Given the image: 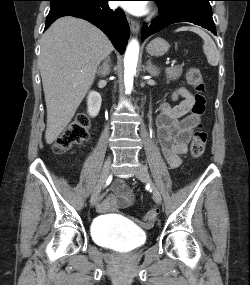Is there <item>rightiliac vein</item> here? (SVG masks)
Here are the masks:
<instances>
[{"label":"right iliac vein","instance_id":"1","mask_svg":"<svg viewBox=\"0 0 250 285\" xmlns=\"http://www.w3.org/2000/svg\"><path fill=\"white\" fill-rule=\"evenodd\" d=\"M110 166H111V158L109 157V158H107V160L104 163L103 169H102L100 177L98 179V182H97V184L93 190V193L91 195V199H90L91 206H94L98 200L101 189H102L104 183L106 182V180L108 178Z\"/></svg>","mask_w":250,"mask_h":285}]
</instances>
